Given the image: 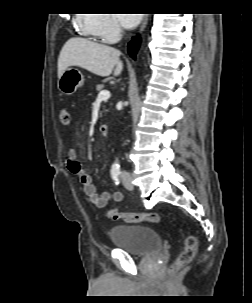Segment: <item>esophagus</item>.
<instances>
[{"instance_id": "obj_1", "label": "esophagus", "mask_w": 252, "mask_h": 303, "mask_svg": "<svg viewBox=\"0 0 252 303\" xmlns=\"http://www.w3.org/2000/svg\"><path fill=\"white\" fill-rule=\"evenodd\" d=\"M148 19H149V14H145L144 19L140 25L139 32H142L145 29V27L147 26V23H148Z\"/></svg>"}]
</instances>
